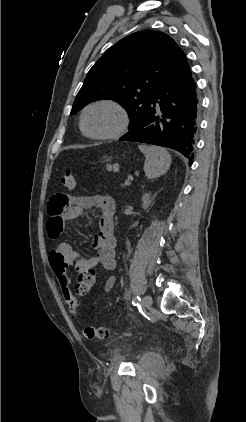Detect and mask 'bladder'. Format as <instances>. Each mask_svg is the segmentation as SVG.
<instances>
[{"instance_id": "31cf9c89", "label": "bladder", "mask_w": 246, "mask_h": 422, "mask_svg": "<svg viewBox=\"0 0 246 422\" xmlns=\"http://www.w3.org/2000/svg\"><path fill=\"white\" fill-rule=\"evenodd\" d=\"M144 360L153 366H158L162 363V357L158 353H148L144 357Z\"/></svg>"}]
</instances>
